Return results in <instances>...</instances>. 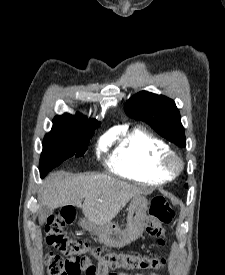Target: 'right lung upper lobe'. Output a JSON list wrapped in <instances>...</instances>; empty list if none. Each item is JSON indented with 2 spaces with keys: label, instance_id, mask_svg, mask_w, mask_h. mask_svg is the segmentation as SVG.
I'll return each mask as SVG.
<instances>
[{
  "label": "right lung upper lobe",
  "instance_id": "cb5924a9",
  "mask_svg": "<svg viewBox=\"0 0 225 275\" xmlns=\"http://www.w3.org/2000/svg\"><path fill=\"white\" fill-rule=\"evenodd\" d=\"M53 123L56 124H71L79 126H98L99 122L96 119H88L87 117L77 113L76 115L64 114L62 116H56L53 119Z\"/></svg>",
  "mask_w": 225,
  "mask_h": 275
}]
</instances>
